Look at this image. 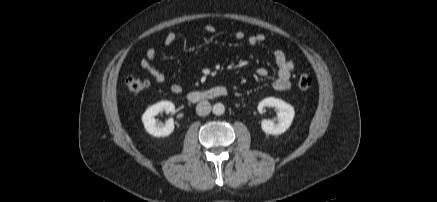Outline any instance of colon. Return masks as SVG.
I'll return each instance as SVG.
<instances>
[{
  "mask_svg": "<svg viewBox=\"0 0 437 202\" xmlns=\"http://www.w3.org/2000/svg\"><path fill=\"white\" fill-rule=\"evenodd\" d=\"M126 87L131 94H141L149 87V81L144 78L130 75L125 80ZM312 85V79L307 74H301L298 78V87L307 90Z\"/></svg>",
  "mask_w": 437,
  "mask_h": 202,
  "instance_id": "colon-1",
  "label": "colon"
}]
</instances>
